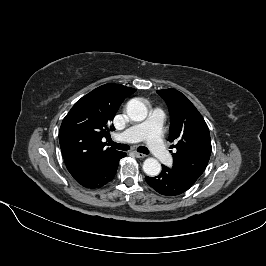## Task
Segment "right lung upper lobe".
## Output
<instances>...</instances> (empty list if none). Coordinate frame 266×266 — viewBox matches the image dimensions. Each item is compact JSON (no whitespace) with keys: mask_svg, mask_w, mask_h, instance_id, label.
I'll list each match as a JSON object with an SVG mask.
<instances>
[{"mask_svg":"<svg viewBox=\"0 0 266 266\" xmlns=\"http://www.w3.org/2000/svg\"><path fill=\"white\" fill-rule=\"evenodd\" d=\"M134 92L120 84L102 85L79 99L63 119L59 130L61 152L76 181L91 176L119 153L105 148L101 140L108 134L107 124L122 101Z\"/></svg>","mask_w":266,"mask_h":266,"instance_id":"1","label":"right lung upper lobe"}]
</instances>
